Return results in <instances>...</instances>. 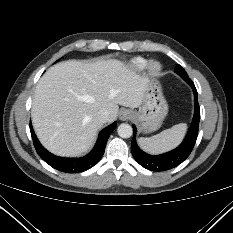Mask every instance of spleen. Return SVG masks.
<instances>
[{"label": "spleen", "instance_id": "3e777b00", "mask_svg": "<svg viewBox=\"0 0 233 233\" xmlns=\"http://www.w3.org/2000/svg\"><path fill=\"white\" fill-rule=\"evenodd\" d=\"M186 131L187 125L185 123L176 124L154 136L148 138L140 137L138 144L145 152L156 155L178 146L183 140Z\"/></svg>", "mask_w": 233, "mask_h": 233}]
</instances>
